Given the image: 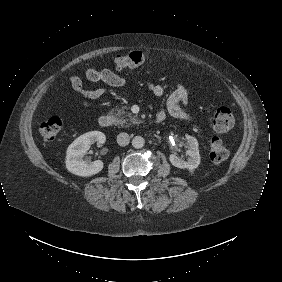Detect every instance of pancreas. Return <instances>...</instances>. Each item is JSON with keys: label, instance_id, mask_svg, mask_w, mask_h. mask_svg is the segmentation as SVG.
I'll return each mask as SVG.
<instances>
[{"label": "pancreas", "instance_id": "cf45deb5", "mask_svg": "<svg viewBox=\"0 0 282 282\" xmlns=\"http://www.w3.org/2000/svg\"><path fill=\"white\" fill-rule=\"evenodd\" d=\"M128 106H122L117 108V123L119 125H132L139 124L142 122L141 119H137L130 111Z\"/></svg>", "mask_w": 282, "mask_h": 282}]
</instances>
